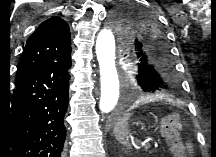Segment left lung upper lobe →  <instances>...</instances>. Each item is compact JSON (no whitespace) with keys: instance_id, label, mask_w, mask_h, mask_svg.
<instances>
[{"instance_id":"obj_1","label":"left lung upper lobe","mask_w":216,"mask_h":157,"mask_svg":"<svg viewBox=\"0 0 216 157\" xmlns=\"http://www.w3.org/2000/svg\"><path fill=\"white\" fill-rule=\"evenodd\" d=\"M109 23L119 35L129 74L138 89L160 98H181V81L169 52L168 37L153 10L133 4L118 6Z\"/></svg>"}]
</instances>
